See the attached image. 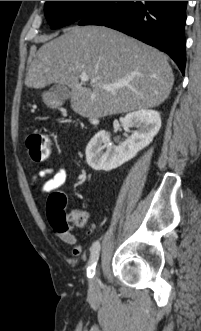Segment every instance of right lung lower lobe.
<instances>
[{"instance_id": "98d812e1", "label": "right lung lower lobe", "mask_w": 201, "mask_h": 331, "mask_svg": "<svg viewBox=\"0 0 201 331\" xmlns=\"http://www.w3.org/2000/svg\"><path fill=\"white\" fill-rule=\"evenodd\" d=\"M187 1H104L78 25L107 26L171 56L184 74L186 64L184 27Z\"/></svg>"}]
</instances>
